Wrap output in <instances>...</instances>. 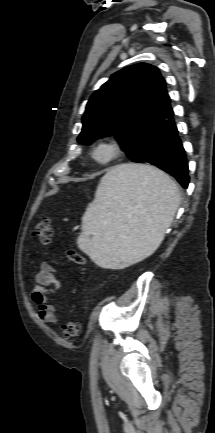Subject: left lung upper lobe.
I'll use <instances>...</instances> for the list:
<instances>
[{
  "label": "left lung upper lobe",
  "mask_w": 215,
  "mask_h": 433,
  "mask_svg": "<svg viewBox=\"0 0 215 433\" xmlns=\"http://www.w3.org/2000/svg\"><path fill=\"white\" fill-rule=\"evenodd\" d=\"M172 117L170 98L159 70L140 63L116 72L92 94L77 140L90 144L115 135L133 162L154 165Z\"/></svg>",
  "instance_id": "left-lung-upper-lobe-1"
}]
</instances>
